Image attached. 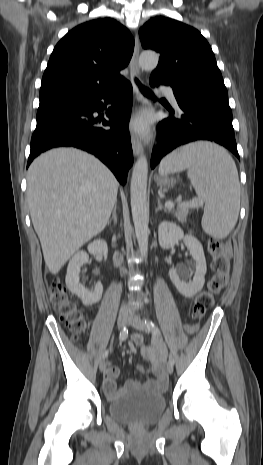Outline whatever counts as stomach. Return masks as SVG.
<instances>
[{
	"label": "stomach",
	"mask_w": 263,
	"mask_h": 465,
	"mask_svg": "<svg viewBox=\"0 0 263 465\" xmlns=\"http://www.w3.org/2000/svg\"><path fill=\"white\" fill-rule=\"evenodd\" d=\"M156 182L160 186V188H163L164 190H167L169 187L173 186L174 184V180L169 179L167 176L156 177Z\"/></svg>",
	"instance_id": "stomach-1"
}]
</instances>
